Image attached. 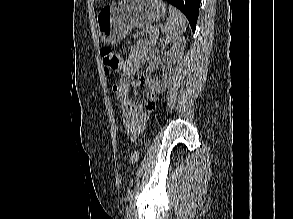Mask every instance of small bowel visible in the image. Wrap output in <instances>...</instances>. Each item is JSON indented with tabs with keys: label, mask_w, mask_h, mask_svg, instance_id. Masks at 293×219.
Segmentation results:
<instances>
[{
	"label": "small bowel",
	"mask_w": 293,
	"mask_h": 219,
	"mask_svg": "<svg viewBox=\"0 0 293 219\" xmlns=\"http://www.w3.org/2000/svg\"><path fill=\"white\" fill-rule=\"evenodd\" d=\"M149 51L150 44L145 40L138 42L131 48L129 55L122 63V78L113 88L116 99L121 105V118L124 132L129 136L132 142H136L144 131L148 121V113L144 111L140 103L130 99L129 88L130 86H145L146 78L141 76L131 83H128L126 79L139 70L141 64L146 60ZM156 100V93L154 91H147L146 110L148 112L155 108Z\"/></svg>",
	"instance_id": "small-bowel-1"
}]
</instances>
